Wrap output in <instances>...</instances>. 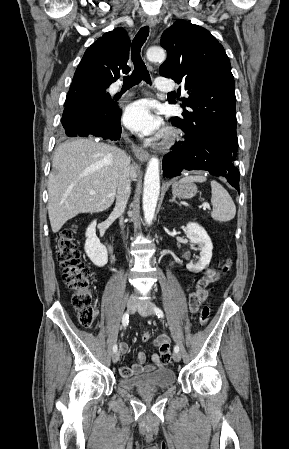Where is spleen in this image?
Masks as SVG:
<instances>
[{
    "label": "spleen",
    "instance_id": "spleen-1",
    "mask_svg": "<svg viewBox=\"0 0 289 449\" xmlns=\"http://www.w3.org/2000/svg\"><path fill=\"white\" fill-rule=\"evenodd\" d=\"M181 182H204L206 177L201 174L188 175L183 177ZM211 203L213 210L211 217L219 222L232 220L236 214L235 204L227 190L217 181H211Z\"/></svg>",
    "mask_w": 289,
    "mask_h": 449
}]
</instances>
